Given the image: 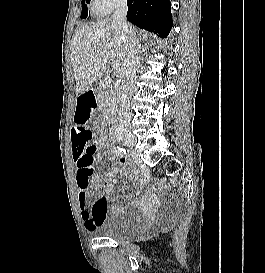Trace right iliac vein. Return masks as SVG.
<instances>
[{"mask_svg":"<svg viewBox=\"0 0 265 273\" xmlns=\"http://www.w3.org/2000/svg\"><path fill=\"white\" fill-rule=\"evenodd\" d=\"M118 140L124 142L127 146H134L136 144V138L130 133L119 136Z\"/></svg>","mask_w":265,"mask_h":273,"instance_id":"obj_1","label":"right iliac vein"}]
</instances>
